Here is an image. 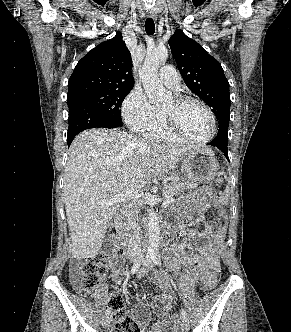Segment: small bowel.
Segmentation results:
<instances>
[{
    "label": "small bowel",
    "mask_w": 291,
    "mask_h": 332,
    "mask_svg": "<svg viewBox=\"0 0 291 332\" xmlns=\"http://www.w3.org/2000/svg\"><path fill=\"white\" fill-rule=\"evenodd\" d=\"M172 233L181 237L186 235L184 227L180 223L172 226ZM224 235L223 227L213 228L204 223L202 229L189 232V236L199 242L197 254H188L186 252V242L182 239L165 251V260L173 269H179L184 264H190L193 274L199 279H204L209 270L219 263V247ZM147 273L146 269H142L138 275L144 277ZM158 285L161 294L151 305L152 311L157 315V321L150 330L145 329L150 317L149 308L142 302H138L134 307L133 319L140 325L141 332H169L171 330L172 297L168 282L161 274L158 276ZM157 301L161 303V307L157 305ZM173 331L171 330V332Z\"/></svg>",
    "instance_id": "1"
}]
</instances>
